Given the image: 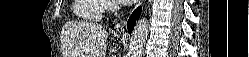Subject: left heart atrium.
I'll return each mask as SVG.
<instances>
[{
  "instance_id": "1",
  "label": "left heart atrium",
  "mask_w": 249,
  "mask_h": 57,
  "mask_svg": "<svg viewBox=\"0 0 249 57\" xmlns=\"http://www.w3.org/2000/svg\"><path fill=\"white\" fill-rule=\"evenodd\" d=\"M123 2H129V1L123 0Z\"/></svg>"
}]
</instances>
